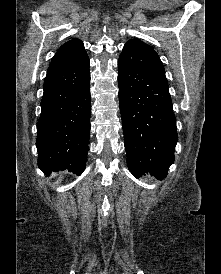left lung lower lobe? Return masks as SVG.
I'll list each match as a JSON object with an SVG mask.
<instances>
[{
	"mask_svg": "<svg viewBox=\"0 0 221 274\" xmlns=\"http://www.w3.org/2000/svg\"><path fill=\"white\" fill-rule=\"evenodd\" d=\"M119 102L127 163L135 177L163 179L174 162L176 118L160 58L127 42L118 60Z\"/></svg>",
	"mask_w": 221,
	"mask_h": 274,
	"instance_id": "obj_1",
	"label": "left lung lower lobe"
}]
</instances>
